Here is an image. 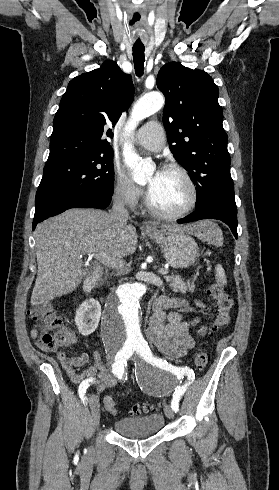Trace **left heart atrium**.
Returning a JSON list of instances; mask_svg holds the SVG:
<instances>
[{
	"label": "left heart atrium",
	"mask_w": 279,
	"mask_h": 490,
	"mask_svg": "<svg viewBox=\"0 0 279 490\" xmlns=\"http://www.w3.org/2000/svg\"><path fill=\"white\" fill-rule=\"evenodd\" d=\"M161 176H162V170H157L153 174V176L151 177V179L149 181V184H148V193H149V195H151L153 193L154 189L156 188V186L160 182Z\"/></svg>",
	"instance_id": "1"
}]
</instances>
